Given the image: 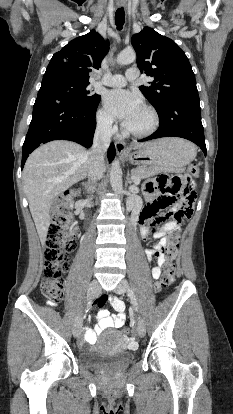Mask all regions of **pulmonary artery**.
<instances>
[{
    "mask_svg": "<svg viewBox=\"0 0 233 414\" xmlns=\"http://www.w3.org/2000/svg\"><path fill=\"white\" fill-rule=\"evenodd\" d=\"M139 77V71L135 67L129 68L125 75L115 74L109 77H106L102 80V83L111 87H122L126 85L127 82L133 81Z\"/></svg>",
    "mask_w": 233,
    "mask_h": 414,
    "instance_id": "1",
    "label": "pulmonary artery"
}]
</instances>
